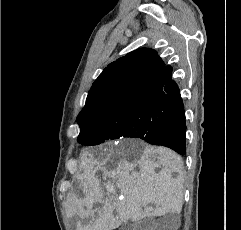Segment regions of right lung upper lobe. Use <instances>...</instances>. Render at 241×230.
<instances>
[{
  "instance_id": "cb5924a9",
  "label": "right lung upper lobe",
  "mask_w": 241,
  "mask_h": 230,
  "mask_svg": "<svg viewBox=\"0 0 241 230\" xmlns=\"http://www.w3.org/2000/svg\"><path fill=\"white\" fill-rule=\"evenodd\" d=\"M165 66L155 50L140 48L109 64L91 87L78 123L97 121L113 110L150 104L159 95Z\"/></svg>"
}]
</instances>
